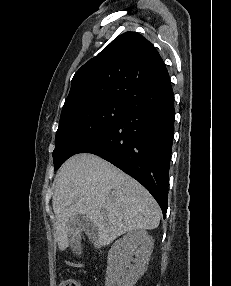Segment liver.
<instances>
[{"label":"liver","instance_id":"1","mask_svg":"<svg viewBox=\"0 0 231 286\" xmlns=\"http://www.w3.org/2000/svg\"><path fill=\"white\" fill-rule=\"evenodd\" d=\"M58 247L65 250L72 239L71 220L87 216L98 233L96 248L136 230H152L161 210L151 194L135 179L94 154L72 156L60 168L52 199Z\"/></svg>","mask_w":231,"mask_h":286}]
</instances>
